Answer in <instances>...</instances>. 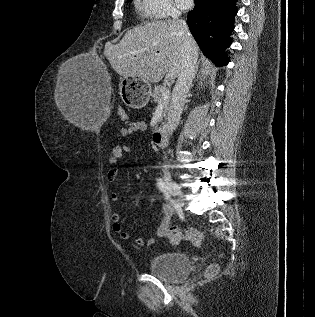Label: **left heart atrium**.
<instances>
[{
	"label": "left heart atrium",
	"mask_w": 315,
	"mask_h": 317,
	"mask_svg": "<svg viewBox=\"0 0 315 317\" xmlns=\"http://www.w3.org/2000/svg\"><path fill=\"white\" fill-rule=\"evenodd\" d=\"M176 2L182 9H187L193 4V0H176Z\"/></svg>",
	"instance_id": "1"
}]
</instances>
